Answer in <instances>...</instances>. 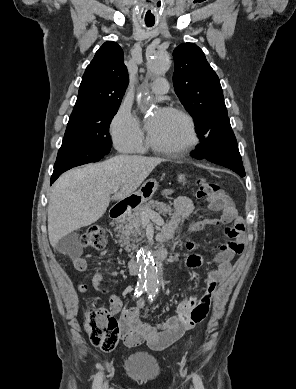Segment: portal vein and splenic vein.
<instances>
[{"label": "portal vein and splenic vein", "mask_w": 296, "mask_h": 389, "mask_svg": "<svg viewBox=\"0 0 296 389\" xmlns=\"http://www.w3.org/2000/svg\"><path fill=\"white\" fill-rule=\"evenodd\" d=\"M142 217L147 219V220L151 219L152 221H159V222L163 223V220L160 218V216L155 214V213H153L150 210H144L142 212Z\"/></svg>", "instance_id": "1"}]
</instances>
